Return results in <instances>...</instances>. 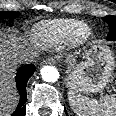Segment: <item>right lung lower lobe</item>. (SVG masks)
I'll use <instances>...</instances> for the list:
<instances>
[{
    "label": "right lung lower lobe",
    "mask_w": 116,
    "mask_h": 116,
    "mask_svg": "<svg viewBox=\"0 0 116 116\" xmlns=\"http://www.w3.org/2000/svg\"><path fill=\"white\" fill-rule=\"evenodd\" d=\"M35 71V66L32 64H27L22 66L17 70L16 73V86L20 94V101L17 109L11 116H24L26 113V101H27V93L26 86L29 78L33 75Z\"/></svg>",
    "instance_id": "right-lung-lower-lobe-1"
}]
</instances>
